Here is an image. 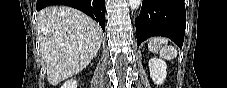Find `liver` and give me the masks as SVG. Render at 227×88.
I'll use <instances>...</instances> for the list:
<instances>
[{
	"label": "liver",
	"mask_w": 227,
	"mask_h": 88,
	"mask_svg": "<svg viewBox=\"0 0 227 88\" xmlns=\"http://www.w3.org/2000/svg\"><path fill=\"white\" fill-rule=\"evenodd\" d=\"M37 38L47 80L55 86L91 62L100 49L103 32L77 9L49 6L37 15Z\"/></svg>",
	"instance_id": "obj_1"
}]
</instances>
